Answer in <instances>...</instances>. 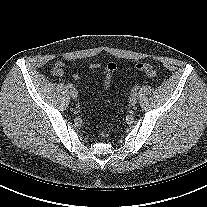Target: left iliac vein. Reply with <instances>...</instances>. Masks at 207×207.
Segmentation results:
<instances>
[{"label":"left iliac vein","instance_id":"left-iliac-vein-1","mask_svg":"<svg viewBox=\"0 0 207 207\" xmlns=\"http://www.w3.org/2000/svg\"><path fill=\"white\" fill-rule=\"evenodd\" d=\"M138 100V95L136 92L131 93L130 98H129V103L131 105H135L137 103Z\"/></svg>","mask_w":207,"mask_h":207}]
</instances>
